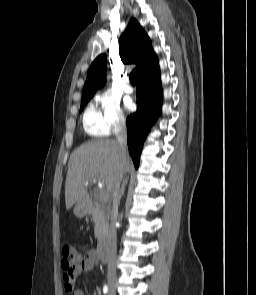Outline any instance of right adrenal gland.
Returning a JSON list of instances; mask_svg holds the SVG:
<instances>
[{
	"instance_id": "1",
	"label": "right adrenal gland",
	"mask_w": 256,
	"mask_h": 295,
	"mask_svg": "<svg viewBox=\"0 0 256 295\" xmlns=\"http://www.w3.org/2000/svg\"><path fill=\"white\" fill-rule=\"evenodd\" d=\"M127 184H128V177L125 178L122 182L121 191H120V200H121L122 196L125 194V188H126Z\"/></svg>"
}]
</instances>
